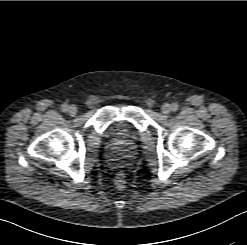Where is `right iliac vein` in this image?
I'll list each match as a JSON object with an SVG mask.
<instances>
[{"mask_svg": "<svg viewBox=\"0 0 247 245\" xmlns=\"http://www.w3.org/2000/svg\"><path fill=\"white\" fill-rule=\"evenodd\" d=\"M77 107L75 105H70L68 107V113L71 115V116H75L77 114Z\"/></svg>", "mask_w": 247, "mask_h": 245, "instance_id": "obj_1", "label": "right iliac vein"}]
</instances>
